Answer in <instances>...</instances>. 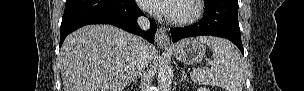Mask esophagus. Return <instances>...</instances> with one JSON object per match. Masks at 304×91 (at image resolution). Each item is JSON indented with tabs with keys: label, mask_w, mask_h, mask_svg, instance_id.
<instances>
[{
	"label": "esophagus",
	"mask_w": 304,
	"mask_h": 91,
	"mask_svg": "<svg viewBox=\"0 0 304 91\" xmlns=\"http://www.w3.org/2000/svg\"><path fill=\"white\" fill-rule=\"evenodd\" d=\"M155 41L159 46H169L170 45V38L166 32V29L163 27H159L156 35H155Z\"/></svg>",
	"instance_id": "esophagus-1"
}]
</instances>
